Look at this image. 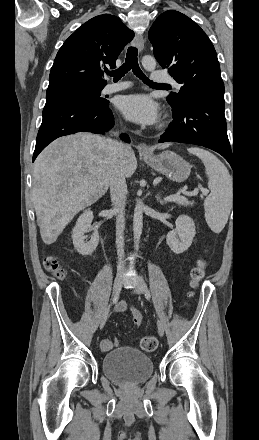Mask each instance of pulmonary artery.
I'll return each instance as SVG.
<instances>
[{"label":"pulmonary artery","instance_id":"1","mask_svg":"<svg viewBox=\"0 0 259 440\" xmlns=\"http://www.w3.org/2000/svg\"><path fill=\"white\" fill-rule=\"evenodd\" d=\"M151 80L157 83H172L175 87L179 88V84H177L171 77L168 75L162 74L160 72H153L151 75ZM130 86L127 82H118L108 84L104 87V93H113L123 89H126Z\"/></svg>","mask_w":259,"mask_h":440}]
</instances>
